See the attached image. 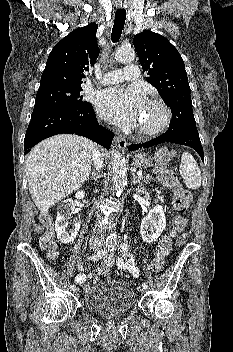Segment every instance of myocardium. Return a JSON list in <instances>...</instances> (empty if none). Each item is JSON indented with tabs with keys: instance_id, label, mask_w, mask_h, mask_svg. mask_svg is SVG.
I'll list each match as a JSON object with an SVG mask.
<instances>
[{
	"instance_id": "myocardium-1",
	"label": "myocardium",
	"mask_w": 233,
	"mask_h": 352,
	"mask_svg": "<svg viewBox=\"0 0 233 352\" xmlns=\"http://www.w3.org/2000/svg\"><path fill=\"white\" fill-rule=\"evenodd\" d=\"M148 102L156 104L162 111V118L158 124L149 128H138V132L143 136H154L166 129L171 121V110L168 105L158 96H150L147 98Z\"/></svg>"
}]
</instances>
